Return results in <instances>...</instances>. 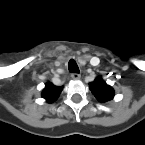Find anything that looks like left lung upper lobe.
<instances>
[{
    "instance_id": "5c2ea615",
    "label": "left lung upper lobe",
    "mask_w": 145,
    "mask_h": 145,
    "mask_svg": "<svg viewBox=\"0 0 145 145\" xmlns=\"http://www.w3.org/2000/svg\"><path fill=\"white\" fill-rule=\"evenodd\" d=\"M92 93L101 102L105 103L114 97V90L107 85L100 77L89 84Z\"/></svg>"
}]
</instances>
